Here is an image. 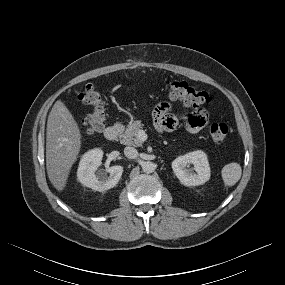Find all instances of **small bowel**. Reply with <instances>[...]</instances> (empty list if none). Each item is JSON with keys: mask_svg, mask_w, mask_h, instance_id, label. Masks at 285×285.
Masks as SVG:
<instances>
[{"mask_svg": "<svg viewBox=\"0 0 285 285\" xmlns=\"http://www.w3.org/2000/svg\"><path fill=\"white\" fill-rule=\"evenodd\" d=\"M155 125L161 130H173L182 120L185 128L191 133H197L206 127L209 116L205 110H195L179 118L170 113V105L160 104L153 112Z\"/></svg>", "mask_w": 285, "mask_h": 285, "instance_id": "c3829d8e", "label": "small bowel"}]
</instances>
